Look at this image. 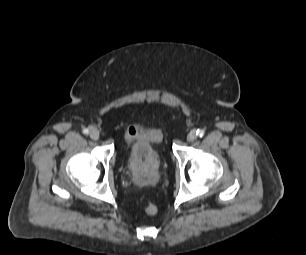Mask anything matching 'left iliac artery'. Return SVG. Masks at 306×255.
<instances>
[{
    "label": "left iliac artery",
    "instance_id": "1",
    "mask_svg": "<svg viewBox=\"0 0 306 255\" xmlns=\"http://www.w3.org/2000/svg\"><path fill=\"white\" fill-rule=\"evenodd\" d=\"M204 130H202V129H198L197 131H196V135L198 136V137H203L204 136Z\"/></svg>",
    "mask_w": 306,
    "mask_h": 255
}]
</instances>
